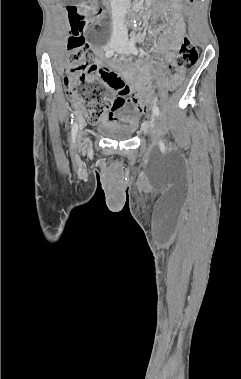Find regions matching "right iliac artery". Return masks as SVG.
Returning a JSON list of instances; mask_svg holds the SVG:
<instances>
[{"instance_id":"right-iliac-artery-1","label":"right iliac artery","mask_w":241,"mask_h":379,"mask_svg":"<svg viewBox=\"0 0 241 379\" xmlns=\"http://www.w3.org/2000/svg\"><path fill=\"white\" fill-rule=\"evenodd\" d=\"M113 54H114V51L109 49L106 51L105 56L111 57V56H113ZM77 130H78V126H77V123H75L72 127V139L73 140H75V138H76Z\"/></svg>"}]
</instances>
